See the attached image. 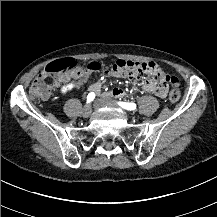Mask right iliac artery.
<instances>
[{"mask_svg":"<svg viewBox=\"0 0 217 217\" xmlns=\"http://www.w3.org/2000/svg\"><path fill=\"white\" fill-rule=\"evenodd\" d=\"M94 98H95V93L94 92L89 93L87 96V103L92 102Z\"/></svg>","mask_w":217,"mask_h":217,"instance_id":"1","label":"right iliac artery"}]
</instances>
